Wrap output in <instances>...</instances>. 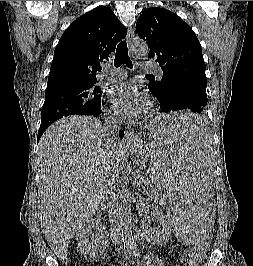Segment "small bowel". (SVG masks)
<instances>
[{
	"label": "small bowel",
	"mask_w": 253,
	"mask_h": 266,
	"mask_svg": "<svg viewBox=\"0 0 253 266\" xmlns=\"http://www.w3.org/2000/svg\"><path fill=\"white\" fill-rule=\"evenodd\" d=\"M146 262V266H164L162 260L153 255H147Z\"/></svg>",
	"instance_id": "c3829d8e"
}]
</instances>
